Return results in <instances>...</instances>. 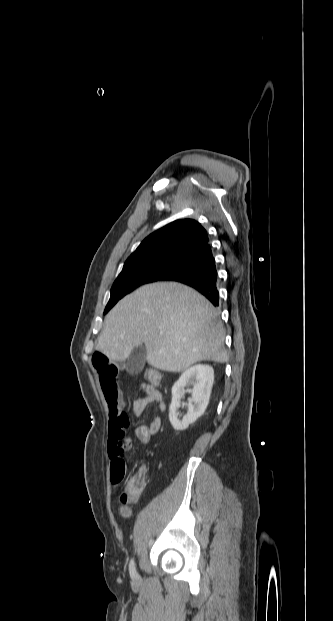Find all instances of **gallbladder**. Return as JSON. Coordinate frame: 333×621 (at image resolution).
<instances>
[{
	"instance_id": "obj_1",
	"label": "gallbladder",
	"mask_w": 333,
	"mask_h": 621,
	"mask_svg": "<svg viewBox=\"0 0 333 621\" xmlns=\"http://www.w3.org/2000/svg\"><path fill=\"white\" fill-rule=\"evenodd\" d=\"M146 361V348L144 344L135 347L127 358V369L129 373H137L144 367Z\"/></svg>"
}]
</instances>
